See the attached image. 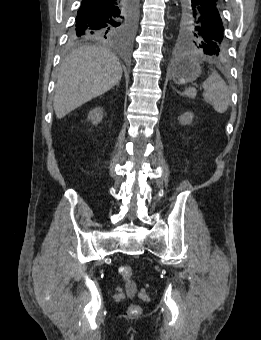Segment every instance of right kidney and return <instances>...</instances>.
<instances>
[{
	"label": "right kidney",
	"mask_w": 261,
	"mask_h": 340,
	"mask_svg": "<svg viewBox=\"0 0 261 340\" xmlns=\"http://www.w3.org/2000/svg\"><path fill=\"white\" fill-rule=\"evenodd\" d=\"M102 118H103V109L100 107L93 109L88 114V120H91L92 123L95 125L101 122Z\"/></svg>",
	"instance_id": "obj_1"
}]
</instances>
